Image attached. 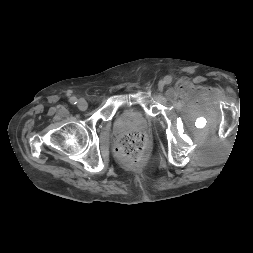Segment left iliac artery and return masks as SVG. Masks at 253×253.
<instances>
[{"instance_id":"obj_1","label":"left iliac artery","mask_w":253,"mask_h":253,"mask_svg":"<svg viewBox=\"0 0 253 253\" xmlns=\"http://www.w3.org/2000/svg\"><path fill=\"white\" fill-rule=\"evenodd\" d=\"M164 81H165L166 84H170L172 82V77L171 76H166L164 78Z\"/></svg>"}]
</instances>
